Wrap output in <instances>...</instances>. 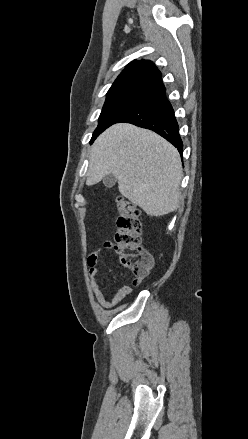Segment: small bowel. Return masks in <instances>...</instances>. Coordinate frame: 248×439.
<instances>
[{
  "label": "small bowel",
  "mask_w": 248,
  "mask_h": 439,
  "mask_svg": "<svg viewBox=\"0 0 248 439\" xmlns=\"http://www.w3.org/2000/svg\"><path fill=\"white\" fill-rule=\"evenodd\" d=\"M112 248L111 243H105L103 247L97 251L92 252L87 259V263L90 269V284L96 297L98 303L104 309H110L115 307L118 303L127 298L131 292L132 288L128 285L122 286L111 298H106L103 291L100 288L98 282V275L103 271L102 267L99 265L100 252L101 250H109ZM135 285V280L133 281Z\"/></svg>",
  "instance_id": "c3829d8e"
}]
</instances>
